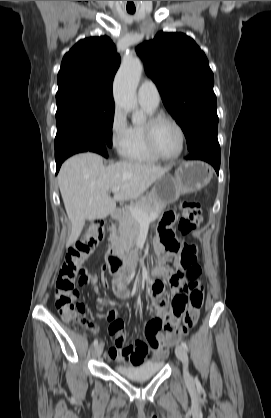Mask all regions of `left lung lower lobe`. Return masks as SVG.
Returning <instances> with one entry per match:
<instances>
[{
  "mask_svg": "<svg viewBox=\"0 0 271 418\" xmlns=\"http://www.w3.org/2000/svg\"><path fill=\"white\" fill-rule=\"evenodd\" d=\"M186 159H199L210 163L219 173L220 168V146L218 140L209 141L196 147Z\"/></svg>",
  "mask_w": 271,
  "mask_h": 418,
  "instance_id": "obj_1",
  "label": "left lung lower lobe"
}]
</instances>
